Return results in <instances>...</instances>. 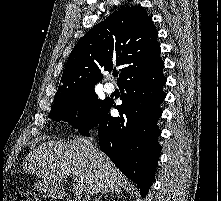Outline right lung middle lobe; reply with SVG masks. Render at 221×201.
<instances>
[{
  "label": "right lung middle lobe",
  "mask_w": 221,
  "mask_h": 201,
  "mask_svg": "<svg viewBox=\"0 0 221 201\" xmlns=\"http://www.w3.org/2000/svg\"><path fill=\"white\" fill-rule=\"evenodd\" d=\"M109 100L98 99L94 89L55 96L49 117L54 121H64L80 132L97 123L107 108ZM74 110H79L75 118Z\"/></svg>",
  "instance_id": "1"
}]
</instances>
